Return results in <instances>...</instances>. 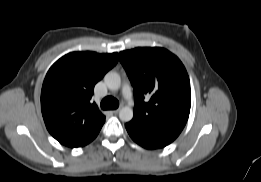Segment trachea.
Returning a JSON list of instances; mask_svg holds the SVG:
<instances>
[{
  "instance_id": "3493384b",
  "label": "trachea",
  "mask_w": 261,
  "mask_h": 182,
  "mask_svg": "<svg viewBox=\"0 0 261 182\" xmlns=\"http://www.w3.org/2000/svg\"><path fill=\"white\" fill-rule=\"evenodd\" d=\"M119 102L112 96H107L101 101V108L104 110L117 109Z\"/></svg>"
}]
</instances>
